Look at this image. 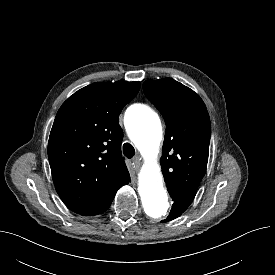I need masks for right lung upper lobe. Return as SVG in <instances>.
Here are the masks:
<instances>
[{"instance_id":"right-lung-upper-lobe-1","label":"right lung upper lobe","mask_w":275,"mask_h":275,"mask_svg":"<svg viewBox=\"0 0 275 275\" xmlns=\"http://www.w3.org/2000/svg\"><path fill=\"white\" fill-rule=\"evenodd\" d=\"M140 82H96L70 96L54 120L48 158L55 188L80 215H97L130 181L121 155L119 114L138 93Z\"/></svg>"}]
</instances>
